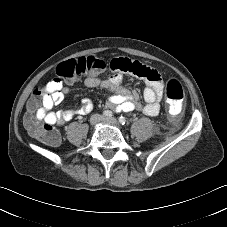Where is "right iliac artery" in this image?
<instances>
[{
	"label": "right iliac artery",
	"mask_w": 227,
	"mask_h": 227,
	"mask_svg": "<svg viewBox=\"0 0 227 227\" xmlns=\"http://www.w3.org/2000/svg\"><path fill=\"white\" fill-rule=\"evenodd\" d=\"M102 115H103L104 117H106V118H110V117L113 116L112 112L109 111V110L104 111V112L102 113Z\"/></svg>",
	"instance_id": "82829eb1"
}]
</instances>
